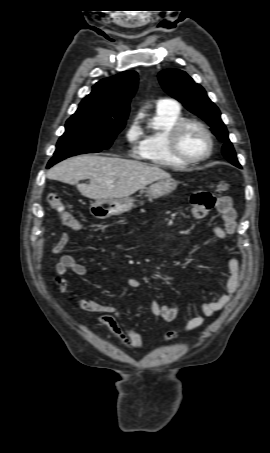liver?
Here are the masks:
<instances>
[{
    "instance_id": "6515ba94",
    "label": "liver",
    "mask_w": 270,
    "mask_h": 453,
    "mask_svg": "<svg viewBox=\"0 0 270 453\" xmlns=\"http://www.w3.org/2000/svg\"><path fill=\"white\" fill-rule=\"evenodd\" d=\"M163 169L136 160L80 155L68 158L47 172V178L76 185L90 199H121L157 180L170 178ZM89 179V184L80 180Z\"/></svg>"
}]
</instances>
